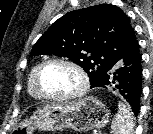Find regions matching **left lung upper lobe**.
<instances>
[{
	"label": "left lung upper lobe",
	"mask_w": 153,
	"mask_h": 134,
	"mask_svg": "<svg viewBox=\"0 0 153 134\" xmlns=\"http://www.w3.org/2000/svg\"><path fill=\"white\" fill-rule=\"evenodd\" d=\"M139 48L129 18L117 6L99 4L66 13L34 45L31 55L65 56L87 72L91 88Z\"/></svg>",
	"instance_id": "obj_1"
}]
</instances>
